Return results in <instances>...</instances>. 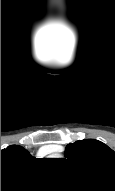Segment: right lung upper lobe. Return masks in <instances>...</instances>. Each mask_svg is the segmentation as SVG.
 <instances>
[{
    "instance_id": "right-lung-upper-lobe-1",
    "label": "right lung upper lobe",
    "mask_w": 115,
    "mask_h": 191,
    "mask_svg": "<svg viewBox=\"0 0 115 191\" xmlns=\"http://www.w3.org/2000/svg\"><path fill=\"white\" fill-rule=\"evenodd\" d=\"M30 153L19 145H11L6 149L1 150V164L5 165L8 163H20L28 159Z\"/></svg>"
}]
</instances>
